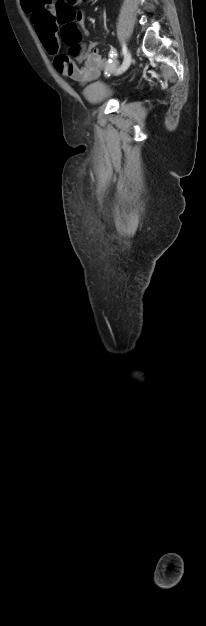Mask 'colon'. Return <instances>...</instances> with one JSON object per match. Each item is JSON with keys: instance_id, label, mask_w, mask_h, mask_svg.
<instances>
[{"instance_id": "obj_1", "label": "colon", "mask_w": 206, "mask_h": 626, "mask_svg": "<svg viewBox=\"0 0 206 626\" xmlns=\"http://www.w3.org/2000/svg\"><path fill=\"white\" fill-rule=\"evenodd\" d=\"M89 0H57L58 21L62 26V39L69 47L70 56L78 58L81 55V34L77 26L72 22L74 14L71 7L86 3ZM28 9L33 7L28 6Z\"/></svg>"}]
</instances>
